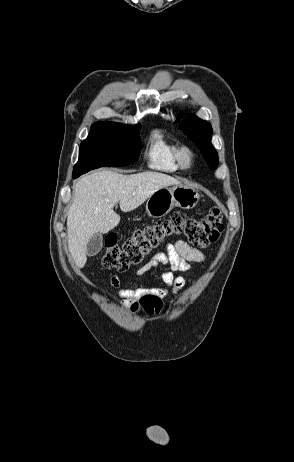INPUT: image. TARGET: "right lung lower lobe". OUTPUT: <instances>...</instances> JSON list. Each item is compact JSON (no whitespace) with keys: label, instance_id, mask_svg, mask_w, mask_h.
Returning <instances> with one entry per match:
<instances>
[{"label":"right lung lower lobe","instance_id":"1","mask_svg":"<svg viewBox=\"0 0 294 462\" xmlns=\"http://www.w3.org/2000/svg\"><path fill=\"white\" fill-rule=\"evenodd\" d=\"M116 163L114 161V158L109 155V154H101L97 156L96 161L94 162L93 166L91 167L92 169H96L99 167H113L115 166ZM80 175L73 176V178H77Z\"/></svg>","mask_w":294,"mask_h":462}]
</instances>
